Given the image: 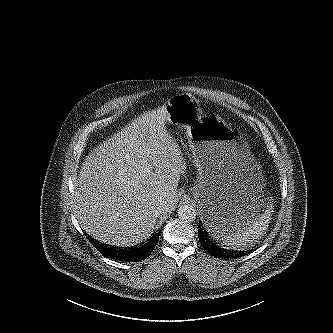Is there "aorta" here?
Returning a JSON list of instances; mask_svg holds the SVG:
<instances>
[{"instance_id": "aorta-1", "label": "aorta", "mask_w": 333, "mask_h": 333, "mask_svg": "<svg viewBox=\"0 0 333 333\" xmlns=\"http://www.w3.org/2000/svg\"><path fill=\"white\" fill-rule=\"evenodd\" d=\"M196 210L191 205H181L178 209V217L186 222H192L196 219Z\"/></svg>"}]
</instances>
